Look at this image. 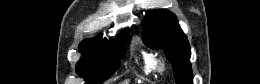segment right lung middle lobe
Masks as SVG:
<instances>
[{
  "label": "right lung middle lobe",
  "mask_w": 260,
  "mask_h": 84,
  "mask_svg": "<svg viewBox=\"0 0 260 84\" xmlns=\"http://www.w3.org/2000/svg\"><path fill=\"white\" fill-rule=\"evenodd\" d=\"M129 44L130 37L126 34L112 43L98 41L80 46L83 57L77 64V73L83 76L88 84L104 82L119 67L120 59L126 53L125 46Z\"/></svg>",
  "instance_id": "obj_1"
}]
</instances>
